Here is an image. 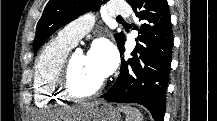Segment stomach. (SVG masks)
Listing matches in <instances>:
<instances>
[{
    "instance_id": "stomach-1",
    "label": "stomach",
    "mask_w": 217,
    "mask_h": 121,
    "mask_svg": "<svg viewBox=\"0 0 217 121\" xmlns=\"http://www.w3.org/2000/svg\"><path fill=\"white\" fill-rule=\"evenodd\" d=\"M120 118L118 109L109 104H97L89 113L87 121H120Z\"/></svg>"
}]
</instances>
